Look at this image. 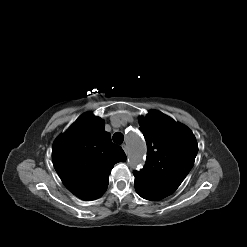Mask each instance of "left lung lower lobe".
Instances as JSON below:
<instances>
[{
  "label": "left lung lower lobe",
  "mask_w": 247,
  "mask_h": 247,
  "mask_svg": "<svg viewBox=\"0 0 247 247\" xmlns=\"http://www.w3.org/2000/svg\"><path fill=\"white\" fill-rule=\"evenodd\" d=\"M135 185V190L136 192L139 194V196H141L144 199L147 200H151V201H156V200H160L162 198H160L159 196L147 191L143 186H141L139 183H137L135 181L134 183Z\"/></svg>",
  "instance_id": "left-lung-lower-lobe-1"
}]
</instances>
